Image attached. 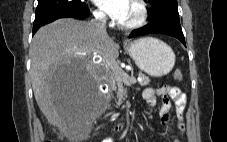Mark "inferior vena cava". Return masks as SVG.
<instances>
[{"label": "inferior vena cava", "mask_w": 227, "mask_h": 142, "mask_svg": "<svg viewBox=\"0 0 227 142\" xmlns=\"http://www.w3.org/2000/svg\"><path fill=\"white\" fill-rule=\"evenodd\" d=\"M97 35L105 36L106 32V16L103 12H94V18L89 22Z\"/></svg>", "instance_id": "602c4592"}]
</instances>
